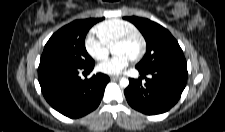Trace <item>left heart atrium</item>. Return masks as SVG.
I'll return each mask as SVG.
<instances>
[{
  "mask_svg": "<svg viewBox=\"0 0 225 132\" xmlns=\"http://www.w3.org/2000/svg\"><path fill=\"white\" fill-rule=\"evenodd\" d=\"M132 58L127 54H117L98 65V70L107 75L120 74L131 62Z\"/></svg>",
  "mask_w": 225,
  "mask_h": 132,
  "instance_id": "left-heart-atrium-1",
  "label": "left heart atrium"
}]
</instances>
